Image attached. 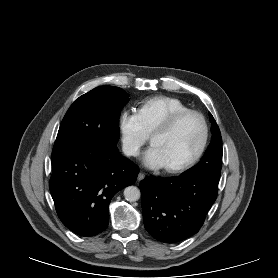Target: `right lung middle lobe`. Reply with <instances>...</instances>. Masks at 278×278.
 <instances>
[{"label": "right lung middle lobe", "mask_w": 278, "mask_h": 278, "mask_svg": "<svg viewBox=\"0 0 278 278\" xmlns=\"http://www.w3.org/2000/svg\"><path fill=\"white\" fill-rule=\"evenodd\" d=\"M129 95L119 87L100 86L80 96L60 125L52 154L119 140L120 111Z\"/></svg>", "instance_id": "right-lung-middle-lobe-1"}]
</instances>
